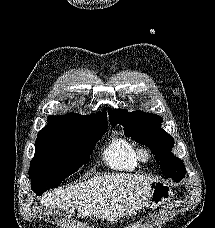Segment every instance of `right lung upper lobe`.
Here are the masks:
<instances>
[{
	"label": "right lung upper lobe",
	"instance_id": "cb5924a9",
	"mask_svg": "<svg viewBox=\"0 0 215 228\" xmlns=\"http://www.w3.org/2000/svg\"><path fill=\"white\" fill-rule=\"evenodd\" d=\"M94 124H107L106 112L83 116L80 114L69 113L63 116H50L47 127L43 128L39 134L68 127L86 126Z\"/></svg>",
	"mask_w": 215,
	"mask_h": 228
}]
</instances>
